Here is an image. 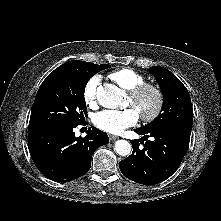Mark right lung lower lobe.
Listing matches in <instances>:
<instances>
[{"label":"right lung lower lobe","mask_w":221,"mask_h":221,"mask_svg":"<svg viewBox=\"0 0 221 221\" xmlns=\"http://www.w3.org/2000/svg\"><path fill=\"white\" fill-rule=\"evenodd\" d=\"M76 126L28 130L31 157L47 178L66 182L83 176L91 167L94 151L109 142L108 135L92 127L84 138L75 137Z\"/></svg>","instance_id":"right-lung-lower-lobe-1"}]
</instances>
